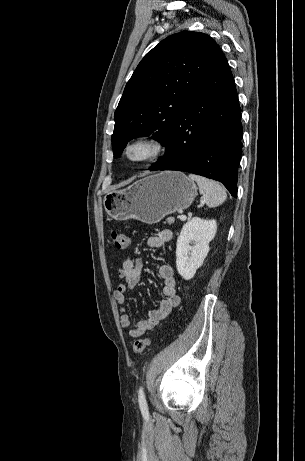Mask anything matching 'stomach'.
<instances>
[{
	"instance_id": "1",
	"label": "stomach",
	"mask_w": 305,
	"mask_h": 461,
	"mask_svg": "<svg viewBox=\"0 0 305 461\" xmlns=\"http://www.w3.org/2000/svg\"><path fill=\"white\" fill-rule=\"evenodd\" d=\"M196 196V184L184 173L164 171L106 194L103 206L115 220L136 219L153 224L188 208Z\"/></svg>"
}]
</instances>
